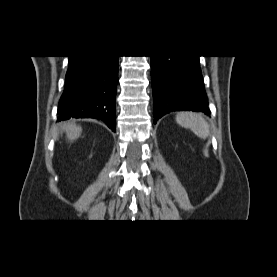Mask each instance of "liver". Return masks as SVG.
Wrapping results in <instances>:
<instances>
[{"label":"liver","mask_w":277,"mask_h":277,"mask_svg":"<svg viewBox=\"0 0 277 277\" xmlns=\"http://www.w3.org/2000/svg\"><path fill=\"white\" fill-rule=\"evenodd\" d=\"M63 131L66 132L67 139L73 141L79 138L82 128L75 123L66 122L63 124Z\"/></svg>","instance_id":"1"}]
</instances>
